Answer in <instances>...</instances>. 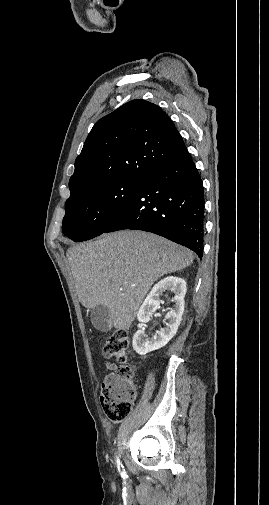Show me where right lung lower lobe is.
Returning a JSON list of instances; mask_svg holds the SVG:
<instances>
[{
    "mask_svg": "<svg viewBox=\"0 0 269 505\" xmlns=\"http://www.w3.org/2000/svg\"><path fill=\"white\" fill-rule=\"evenodd\" d=\"M204 188L186 150L148 173L104 233L149 231L203 255Z\"/></svg>",
    "mask_w": 269,
    "mask_h": 505,
    "instance_id": "1",
    "label": "right lung lower lobe"
}]
</instances>
